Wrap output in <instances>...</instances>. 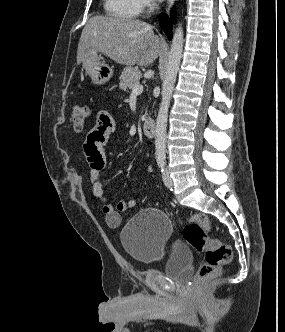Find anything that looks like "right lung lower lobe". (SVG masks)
I'll return each instance as SVG.
<instances>
[{"mask_svg": "<svg viewBox=\"0 0 285 332\" xmlns=\"http://www.w3.org/2000/svg\"><path fill=\"white\" fill-rule=\"evenodd\" d=\"M175 18V14L172 13V19ZM160 26L165 31V33L168 35V38L171 39V29H172V23L170 20H168V16L166 14L160 15Z\"/></svg>", "mask_w": 285, "mask_h": 332, "instance_id": "1", "label": "right lung lower lobe"}]
</instances>
